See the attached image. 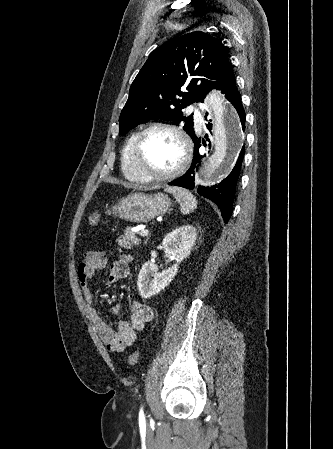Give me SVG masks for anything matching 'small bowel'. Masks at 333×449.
I'll use <instances>...</instances> for the list:
<instances>
[{
  "instance_id": "small-bowel-1",
  "label": "small bowel",
  "mask_w": 333,
  "mask_h": 449,
  "mask_svg": "<svg viewBox=\"0 0 333 449\" xmlns=\"http://www.w3.org/2000/svg\"><path fill=\"white\" fill-rule=\"evenodd\" d=\"M128 265V257H121L113 261L105 285L111 287L125 278L128 273ZM106 266L107 258L104 252H87L78 266L77 276L86 303L87 314L101 341L109 350L121 352L135 343L137 333L145 327L147 322L153 319V309L147 304L136 302L131 307L128 320H119L115 328L106 324L94 304V296L89 282L96 272ZM119 310L120 306L113 308L115 313H118Z\"/></svg>"
}]
</instances>
